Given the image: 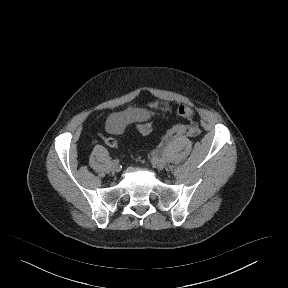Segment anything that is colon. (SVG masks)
Wrapping results in <instances>:
<instances>
[{
	"label": "colon",
	"instance_id": "obj_1",
	"mask_svg": "<svg viewBox=\"0 0 288 288\" xmlns=\"http://www.w3.org/2000/svg\"><path fill=\"white\" fill-rule=\"evenodd\" d=\"M177 115L184 118V119H192L194 116V111L192 108L188 107V106H179L177 111H176ZM152 129L151 124L149 123H143L140 124L138 126V131L142 134H146L149 133ZM101 142L103 144H105L106 146L110 147V148H117L118 147V141L113 138V137H101Z\"/></svg>",
	"mask_w": 288,
	"mask_h": 288
}]
</instances>
